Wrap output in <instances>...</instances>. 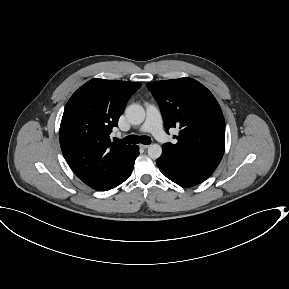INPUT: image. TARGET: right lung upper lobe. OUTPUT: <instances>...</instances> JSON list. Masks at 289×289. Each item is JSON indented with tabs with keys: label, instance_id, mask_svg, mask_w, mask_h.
<instances>
[{
	"label": "right lung upper lobe",
	"instance_id": "obj_1",
	"mask_svg": "<svg viewBox=\"0 0 289 289\" xmlns=\"http://www.w3.org/2000/svg\"><path fill=\"white\" fill-rule=\"evenodd\" d=\"M140 83L94 78L69 99L60 124L64 158L96 190L109 188L125 169L134 145L111 143L109 134Z\"/></svg>",
	"mask_w": 289,
	"mask_h": 289
}]
</instances>
